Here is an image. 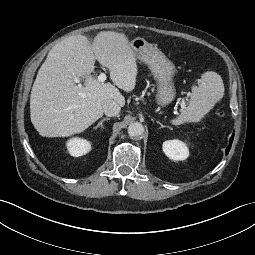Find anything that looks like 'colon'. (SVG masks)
Listing matches in <instances>:
<instances>
[{
    "label": "colon",
    "instance_id": "obj_1",
    "mask_svg": "<svg viewBox=\"0 0 255 255\" xmlns=\"http://www.w3.org/2000/svg\"><path fill=\"white\" fill-rule=\"evenodd\" d=\"M216 114H217L218 118H223L224 117V113L222 111H218Z\"/></svg>",
    "mask_w": 255,
    "mask_h": 255
}]
</instances>
